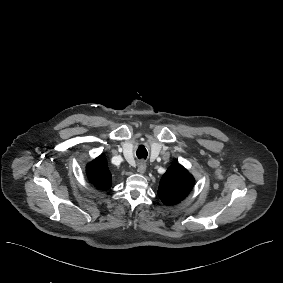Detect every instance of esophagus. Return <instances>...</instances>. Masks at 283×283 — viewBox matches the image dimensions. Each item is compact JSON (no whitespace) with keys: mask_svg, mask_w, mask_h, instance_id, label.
I'll use <instances>...</instances> for the list:
<instances>
[{"mask_svg":"<svg viewBox=\"0 0 283 283\" xmlns=\"http://www.w3.org/2000/svg\"><path fill=\"white\" fill-rule=\"evenodd\" d=\"M137 172L140 174H144L146 172V163L145 162H138L137 163Z\"/></svg>","mask_w":283,"mask_h":283,"instance_id":"esophagus-1","label":"esophagus"}]
</instances>
